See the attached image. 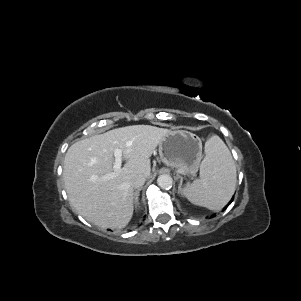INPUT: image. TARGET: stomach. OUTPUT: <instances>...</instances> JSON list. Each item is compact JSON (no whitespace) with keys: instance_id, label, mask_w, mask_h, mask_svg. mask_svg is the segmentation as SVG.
I'll return each instance as SVG.
<instances>
[{"instance_id":"stomach-1","label":"stomach","mask_w":301,"mask_h":301,"mask_svg":"<svg viewBox=\"0 0 301 301\" xmlns=\"http://www.w3.org/2000/svg\"><path fill=\"white\" fill-rule=\"evenodd\" d=\"M159 155L164 164L194 175L202 159V141L187 130L169 131L159 143Z\"/></svg>"}]
</instances>
